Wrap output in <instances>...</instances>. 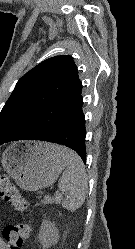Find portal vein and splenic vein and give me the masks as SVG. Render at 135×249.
Listing matches in <instances>:
<instances>
[{
  "mask_svg": "<svg viewBox=\"0 0 135 249\" xmlns=\"http://www.w3.org/2000/svg\"><path fill=\"white\" fill-rule=\"evenodd\" d=\"M56 195L58 196V195H61L60 193H56Z\"/></svg>",
  "mask_w": 135,
  "mask_h": 249,
  "instance_id": "obj_1",
  "label": "portal vein and splenic vein"
}]
</instances>
